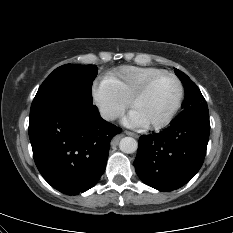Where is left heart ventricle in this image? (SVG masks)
<instances>
[{"mask_svg": "<svg viewBox=\"0 0 233 233\" xmlns=\"http://www.w3.org/2000/svg\"><path fill=\"white\" fill-rule=\"evenodd\" d=\"M178 86L169 77L156 81L149 91L134 105L137 113L147 124L163 120L171 111L178 97Z\"/></svg>", "mask_w": 233, "mask_h": 233, "instance_id": "left-heart-ventricle-1", "label": "left heart ventricle"}]
</instances>
